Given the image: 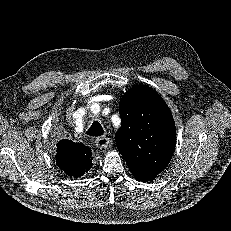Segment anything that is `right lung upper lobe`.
<instances>
[{
	"instance_id": "right-lung-upper-lobe-1",
	"label": "right lung upper lobe",
	"mask_w": 231,
	"mask_h": 231,
	"mask_svg": "<svg viewBox=\"0 0 231 231\" xmlns=\"http://www.w3.org/2000/svg\"><path fill=\"white\" fill-rule=\"evenodd\" d=\"M91 150L77 149L66 140L57 144L56 163L67 175L80 177L92 166Z\"/></svg>"
}]
</instances>
